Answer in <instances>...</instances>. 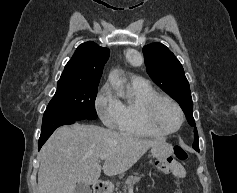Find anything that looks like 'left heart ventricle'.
Segmentation results:
<instances>
[{
  "label": "left heart ventricle",
  "mask_w": 237,
  "mask_h": 193,
  "mask_svg": "<svg viewBox=\"0 0 237 193\" xmlns=\"http://www.w3.org/2000/svg\"><path fill=\"white\" fill-rule=\"evenodd\" d=\"M156 123L165 129H175L180 122V115L177 109L169 102H161L154 114Z\"/></svg>",
  "instance_id": "1"
}]
</instances>
